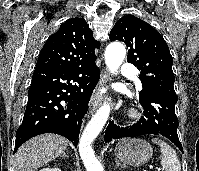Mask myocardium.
<instances>
[{
	"label": "myocardium",
	"instance_id": "f54148a6",
	"mask_svg": "<svg viewBox=\"0 0 199 171\" xmlns=\"http://www.w3.org/2000/svg\"><path fill=\"white\" fill-rule=\"evenodd\" d=\"M132 116H133V117H137V116H138V113H137V112H132Z\"/></svg>",
	"mask_w": 199,
	"mask_h": 171
}]
</instances>
